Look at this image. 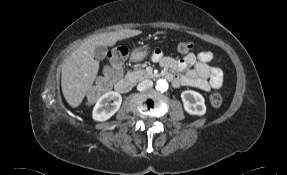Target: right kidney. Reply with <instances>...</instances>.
Listing matches in <instances>:
<instances>
[{"label": "right kidney", "instance_id": "right-kidney-1", "mask_svg": "<svg viewBox=\"0 0 287 175\" xmlns=\"http://www.w3.org/2000/svg\"><path fill=\"white\" fill-rule=\"evenodd\" d=\"M121 95L115 91H109L102 95L96 102L92 117L96 121H106L111 118L120 108Z\"/></svg>", "mask_w": 287, "mask_h": 175}]
</instances>
